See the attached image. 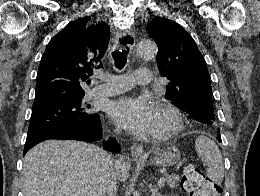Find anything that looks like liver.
<instances>
[{"label": "liver", "mask_w": 260, "mask_h": 196, "mask_svg": "<svg viewBox=\"0 0 260 196\" xmlns=\"http://www.w3.org/2000/svg\"><path fill=\"white\" fill-rule=\"evenodd\" d=\"M105 150L76 140H46L26 154L21 176L24 196H105ZM120 182L128 178L125 160L114 166Z\"/></svg>", "instance_id": "obj_1"}]
</instances>
